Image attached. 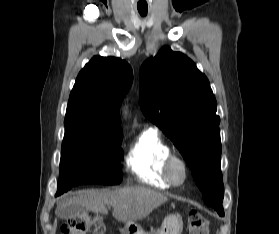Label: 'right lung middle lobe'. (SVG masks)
Returning <instances> with one entry per match:
<instances>
[{
	"label": "right lung middle lobe",
	"instance_id": "obj_1",
	"mask_svg": "<svg viewBox=\"0 0 279 234\" xmlns=\"http://www.w3.org/2000/svg\"><path fill=\"white\" fill-rule=\"evenodd\" d=\"M64 125L56 196L79 184H119L123 135L98 133L84 120H65Z\"/></svg>",
	"mask_w": 279,
	"mask_h": 234
}]
</instances>
